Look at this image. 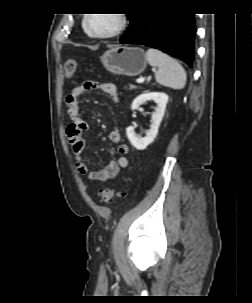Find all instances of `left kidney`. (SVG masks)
<instances>
[{"label":"left kidney","mask_w":252,"mask_h":303,"mask_svg":"<svg viewBox=\"0 0 252 303\" xmlns=\"http://www.w3.org/2000/svg\"><path fill=\"white\" fill-rule=\"evenodd\" d=\"M146 101H154L157 104L154 113H152L150 129L146 132V136H137L133 126L126 129L129 141L138 150H144L156 138L168 102V95L159 92L143 93L134 99L131 109H137Z\"/></svg>","instance_id":"left-kidney-1"}]
</instances>
